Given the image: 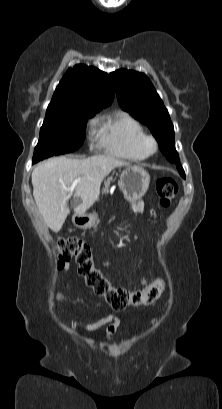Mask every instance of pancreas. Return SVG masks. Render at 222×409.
Returning <instances> with one entry per match:
<instances>
[{
    "mask_svg": "<svg viewBox=\"0 0 222 409\" xmlns=\"http://www.w3.org/2000/svg\"><path fill=\"white\" fill-rule=\"evenodd\" d=\"M111 181H112V179H108V180H106L105 182H104V188H103V191L104 192H107L108 191V189H109V187H110V183H111Z\"/></svg>",
    "mask_w": 222,
    "mask_h": 409,
    "instance_id": "1",
    "label": "pancreas"
}]
</instances>
